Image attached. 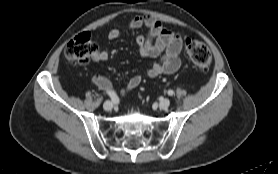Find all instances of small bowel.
Masks as SVG:
<instances>
[{
    "mask_svg": "<svg viewBox=\"0 0 278 174\" xmlns=\"http://www.w3.org/2000/svg\"><path fill=\"white\" fill-rule=\"evenodd\" d=\"M128 26L132 29L146 27L148 34L138 35L136 44L140 55L144 58L159 59L147 70V76L155 78L162 74H172L181 65L180 52L182 50V38L175 32L165 28L160 21L150 15H139L132 19ZM121 35L119 28H113L108 33L110 40H115ZM94 62L108 60L107 50L96 51L92 54ZM93 84L105 92H114L111 80L102 75L92 77ZM141 82L139 75L132 76L125 87L120 90L121 94H126L136 88Z\"/></svg>",
    "mask_w": 278,
    "mask_h": 174,
    "instance_id": "c3829d8e",
    "label": "small bowel"
}]
</instances>
